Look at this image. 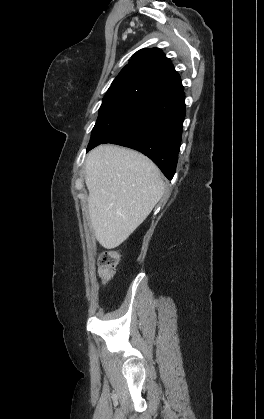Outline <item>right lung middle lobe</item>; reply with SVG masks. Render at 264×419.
Instances as JSON below:
<instances>
[{
	"label": "right lung middle lobe",
	"mask_w": 264,
	"mask_h": 419,
	"mask_svg": "<svg viewBox=\"0 0 264 419\" xmlns=\"http://www.w3.org/2000/svg\"><path fill=\"white\" fill-rule=\"evenodd\" d=\"M151 95L127 86L110 87L99 109L87 151L122 128Z\"/></svg>",
	"instance_id": "obj_1"
}]
</instances>
